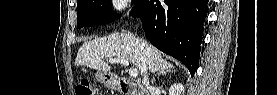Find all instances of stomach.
I'll list each match as a JSON object with an SVG mask.
<instances>
[{
  "instance_id": "stomach-1",
  "label": "stomach",
  "mask_w": 277,
  "mask_h": 95,
  "mask_svg": "<svg viewBox=\"0 0 277 95\" xmlns=\"http://www.w3.org/2000/svg\"><path fill=\"white\" fill-rule=\"evenodd\" d=\"M96 79L106 86L114 85L112 82V79L110 78V76L108 74H103V73L97 72Z\"/></svg>"
}]
</instances>
